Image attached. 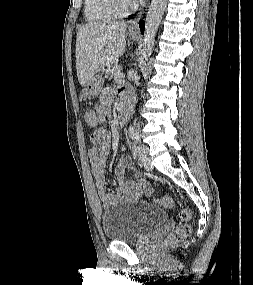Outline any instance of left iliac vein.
Segmentation results:
<instances>
[{
  "label": "left iliac vein",
  "instance_id": "4c4485c4",
  "mask_svg": "<svg viewBox=\"0 0 253 285\" xmlns=\"http://www.w3.org/2000/svg\"><path fill=\"white\" fill-rule=\"evenodd\" d=\"M138 158L140 160L141 165L146 169V170H152L153 165L151 162V158L149 157V148L145 145H140L138 146Z\"/></svg>",
  "mask_w": 253,
  "mask_h": 285
}]
</instances>
